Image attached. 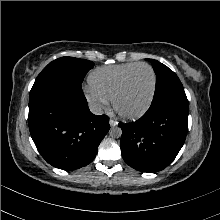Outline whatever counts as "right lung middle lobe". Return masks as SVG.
I'll list each match as a JSON object with an SVG mask.
<instances>
[{
  "label": "right lung middle lobe",
  "instance_id": "right-lung-middle-lobe-1",
  "mask_svg": "<svg viewBox=\"0 0 220 220\" xmlns=\"http://www.w3.org/2000/svg\"><path fill=\"white\" fill-rule=\"evenodd\" d=\"M94 63L85 59L62 57L49 63L37 76L34 85L37 86L49 81H67L81 84L87 72Z\"/></svg>",
  "mask_w": 220,
  "mask_h": 220
}]
</instances>
